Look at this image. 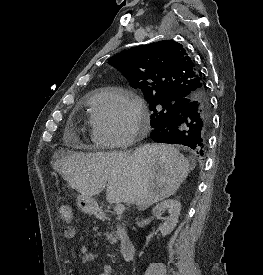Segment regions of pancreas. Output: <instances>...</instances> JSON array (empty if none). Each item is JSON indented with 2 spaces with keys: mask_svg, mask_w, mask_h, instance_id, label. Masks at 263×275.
Returning <instances> with one entry per match:
<instances>
[{
  "mask_svg": "<svg viewBox=\"0 0 263 275\" xmlns=\"http://www.w3.org/2000/svg\"><path fill=\"white\" fill-rule=\"evenodd\" d=\"M106 237L111 244L116 242V234L114 232H106Z\"/></svg>",
  "mask_w": 263,
  "mask_h": 275,
  "instance_id": "cf45deb5",
  "label": "pancreas"
}]
</instances>
